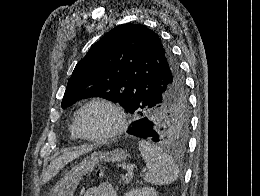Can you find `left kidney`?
<instances>
[{
    "label": "left kidney",
    "mask_w": 260,
    "mask_h": 196,
    "mask_svg": "<svg viewBox=\"0 0 260 196\" xmlns=\"http://www.w3.org/2000/svg\"><path fill=\"white\" fill-rule=\"evenodd\" d=\"M125 196H158L154 188H132Z\"/></svg>",
    "instance_id": "left-kidney-1"
}]
</instances>
